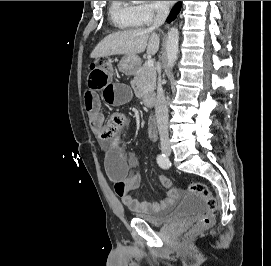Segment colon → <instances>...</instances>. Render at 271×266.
Returning <instances> with one entry per match:
<instances>
[{
	"mask_svg": "<svg viewBox=\"0 0 271 266\" xmlns=\"http://www.w3.org/2000/svg\"><path fill=\"white\" fill-rule=\"evenodd\" d=\"M91 67L93 68H102V69H111L112 68V59L108 57H103L95 60ZM188 191L197 194L200 196L206 206V215L200 221L197 228L206 229L209 227L213 221V216L217 210L218 202L214 197L212 192L209 190L206 184L202 182H192L188 185Z\"/></svg>",
	"mask_w": 271,
	"mask_h": 266,
	"instance_id": "1",
	"label": "colon"
}]
</instances>
